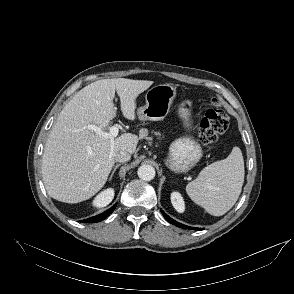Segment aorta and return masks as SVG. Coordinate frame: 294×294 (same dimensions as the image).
Segmentation results:
<instances>
[{"label": "aorta", "instance_id": "762f6f07", "mask_svg": "<svg viewBox=\"0 0 294 294\" xmlns=\"http://www.w3.org/2000/svg\"><path fill=\"white\" fill-rule=\"evenodd\" d=\"M138 177L144 181H151L155 177V169L151 165L143 164L138 168Z\"/></svg>", "mask_w": 294, "mask_h": 294}]
</instances>
